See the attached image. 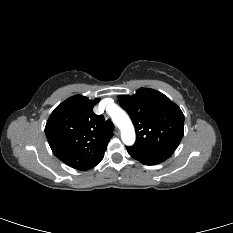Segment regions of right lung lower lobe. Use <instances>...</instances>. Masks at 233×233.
<instances>
[{
  "mask_svg": "<svg viewBox=\"0 0 233 233\" xmlns=\"http://www.w3.org/2000/svg\"><path fill=\"white\" fill-rule=\"evenodd\" d=\"M102 159H103V158H102ZM102 159H101V160H102ZM101 160H100V161H101ZM100 161H99V162H100ZM99 162H98V163H99ZM98 163H97V164H98ZM97 164H96V165H97ZM96 165H95V166H96Z\"/></svg>",
  "mask_w": 233,
  "mask_h": 233,
  "instance_id": "98d812e1",
  "label": "right lung lower lobe"
}]
</instances>
